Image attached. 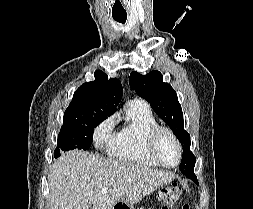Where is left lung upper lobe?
<instances>
[{
    "instance_id": "1",
    "label": "left lung upper lobe",
    "mask_w": 253,
    "mask_h": 209,
    "mask_svg": "<svg viewBox=\"0 0 253 209\" xmlns=\"http://www.w3.org/2000/svg\"><path fill=\"white\" fill-rule=\"evenodd\" d=\"M130 86L140 97L150 103L155 113L178 137L183 146L180 170L191 179L195 175L196 158L190 151V135L184 130L182 108L175 90L170 84L163 82V75L159 71H151L146 75L133 71L130 74Z\"/></svg>"
}]
</instances>
